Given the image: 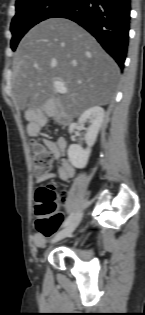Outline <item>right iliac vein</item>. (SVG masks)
Instances as JSON below:
<instances>
[{"mask_svg": "<svg viewBox=\"0 0 145 315\" xmlns=\"http://www.w3.org/2000/svg\"><path fill=\"white\" fill-rule=\"evenodd\" d=\"M81 218H82V213H78L63 230L59 231L58 233L54 235L51 242L55 243L71 235L72 232L79 225Z\"/></svg>", "mask_w": 145, "mask_h": 315, "instance_id": "obj_1", "label": "right iliac vein"}]
</instances>
